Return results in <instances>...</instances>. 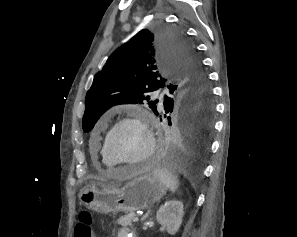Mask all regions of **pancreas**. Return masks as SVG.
Returning a JSON list of instances; mask_svg holds the SVG:
<instances>
[{"mask_svg": "<svg viewBox=\"0 0 297 237\" xmlns=\"http://www.w3.org/2000/svg\"><path fill=\"white\" fill-rule=\"evenodd\" d=\"M135 217V213L131 212L125 216L120 217L116 223L123 227L132 226V221Z\"/></svg>", "mask_w": 297, "mask_h": 237, "instance_id": "1", "label": "pancreas"}]
</instances>
